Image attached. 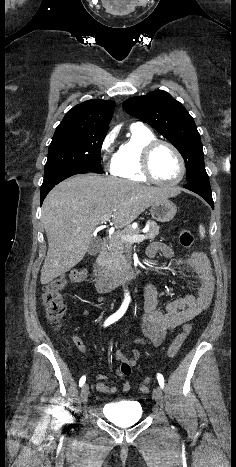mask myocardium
I'll list each match as a JSON object with an SVG mask.
<instances>
[{"label":"myocardium","mask_w":236,"mask_h":467,"mask_svg":"<svg viewBox=\"0 0 236 467\" xmlns=\"http://www.w3.org/2000/svg\"><path fill=\"white\" fill-rule=\"evenodd\" d=\"M160 146H166L169 149H171L179 160L180 174L178 178L175 179L174 181H169V182L162 181L155 176L152 170V157H153L155 150ZM141 171L146 176V178L153 183H156L159 185H165V186H174V185L179 184L184 179L185 174H186V163H185V159L183 155L181 154V152L178 150V148L175 145L165 140L155 139L145 144V146L142 148Z\"/></svg>","instance_id":"myocardium-1"}]
</instances>
